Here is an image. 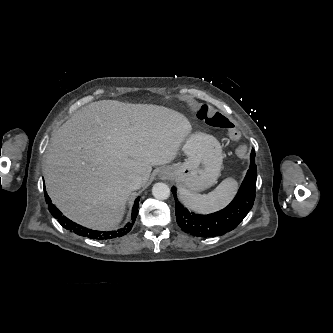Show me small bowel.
<instances>
[{"label": "small bowel", "mask_w": 333, "mask_h": 333, "mask_svg": "<svg viewBox=\"0 0 333 333\" xmlns=\"http://www.w3.org/2000/svg\"><path fill=\"white\" fill-rule=\"evenodd\" d=\"M229 139H230L231 143L235 144L234 150H235L236 157L240 158V159L244 158L246 152L248 151L247 150L248 147L246 145L244 146L243 142H240L239 135L236 132H232L230 134V138Z\"/></svg>", "instance_id": "small-bowel-1"}]
</instances>
